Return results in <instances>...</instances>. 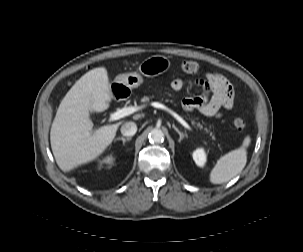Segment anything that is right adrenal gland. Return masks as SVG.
<instances>
[{
    "mask_svg": "<svg viewBox=\"0 0 303 252\" xmlns=\"http://www.w3.org/2000/svg\"><path fill=\"white\" fill-rule=\"evenodd\" d=\"M116 140H122L123 144H125V142H126V141L131 140V137H127V138H124V137H118Z\"/></svg>",
    "mask_w": 303,
    "mask_h": 252,
    "instance_id": "1",
    "label": "right adrenal gland"
}]
</instances>
